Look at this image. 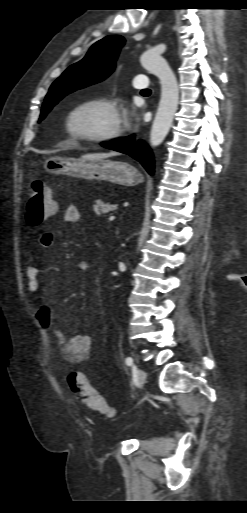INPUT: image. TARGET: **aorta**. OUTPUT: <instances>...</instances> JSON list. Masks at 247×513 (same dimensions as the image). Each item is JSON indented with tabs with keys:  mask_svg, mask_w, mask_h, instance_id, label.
<instances>
[{
	"mask_svg": "<svg viewBox=\"0 0 247 513\" xmlns=\"http://www.w3.org/2000/svg\"><path fill=\"white\" fill-rule=\"evenodd\" d=\"M140 62L146 70L158 77L161 85L160 101L150 132V144L157 147L167 136L178 108V82L167 61L159 54L144 52Z\"/></svg>",
	"mask_w": 247,
	"mask_h": 513,
	"instance_id": "obj_1",
	"label": "aorta"
}]
</instances>
